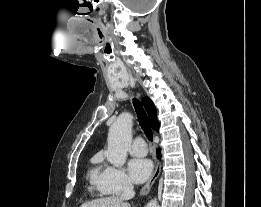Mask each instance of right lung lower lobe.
<instances>
[{
  "label": "right lung lower lobe",
  "mask_w": 261,
  "mask_h": 207,
  "mask_svg": "<svg viewBox=\"0 0 261 207\" xmlns=\"http://www.w3.org/2000/svg\"><path fill=\"white\" fill-rule=\"evenodd\" d=\"M158 158H160V149L157 150Z\"/></svg>",
  "instance_id": "98d812e1"
}]
</instances>
